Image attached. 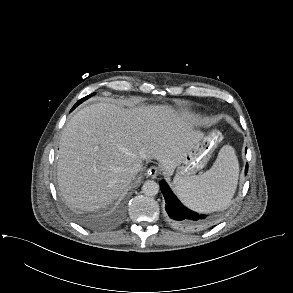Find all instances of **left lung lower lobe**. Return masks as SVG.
<instances>
[{"label":"left lung lower lobe","instance_id":"1","mask_svg":"<svg viewBox=\"0 0 293 293\" xmlns=\"http://www.w3.org/2000/svg\"><path fill=\"white\" fill-rule=\"evenodd\" d=\"M248 171V164L245 173ZM160 188L165 198V209L168 214L170 223L180 229L192 231L207 227L212 221H204L205 215H199L188 208L184 207L178 198L173 194L168 184L160 181Z\"/></svg>","mask_w":293,"mask_h":293}]
</instances>
